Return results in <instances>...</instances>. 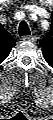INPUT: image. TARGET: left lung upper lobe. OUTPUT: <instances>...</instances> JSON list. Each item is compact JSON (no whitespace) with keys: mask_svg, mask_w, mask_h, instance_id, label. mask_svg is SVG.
I'll list each match as a JSON object with an SVG mask.
<instances>
[{"mask_svg":"<svg viewBox=\"0 0 53 120\" xmlns=\"http://www.w3.org/2000/svg\"><path fill=\"white\" fill-rule=\"evenodd\" d=\"M53 32L52 29L41 41L40 45L42 46V52L44 59L48 64H53Z\"/></svg>","mask_w":53,"mask_h":120,"instance_id":"1","label":"left lung upper lobe"}]
</instances>
